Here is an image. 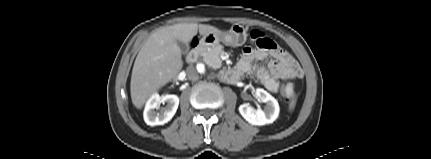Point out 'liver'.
I'll list each match as a JSON object with an SVG mask.
<instances>
[{
    "label": "liver",
    "instance_id": "obj_1",
    "mask_svg": "<svg viewBox=\"0 0 431 159\" xmlns=\"http://www.w3.org/2000/svg\"><path fill=\"white\" fill-rule=\"evenodd\" d=\"M220 31L211 25L183 23L162 27L152 33L134 62L130 82L133 105L141 109L151 95L181 71L182 52L177 41L188 44L198 32L206 36Z\"/></svg>",
    "mask_w": 431,
    "mask_h": 159
}]
</instances>
